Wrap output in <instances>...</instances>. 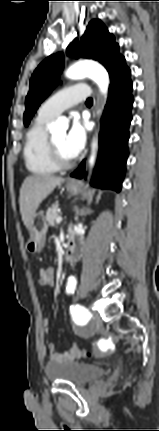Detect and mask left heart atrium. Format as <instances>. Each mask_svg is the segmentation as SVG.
<instances>
[{"mask_svg":"<svg viewBox=\"0 0 159 431\" xmlns=\"http://www.w3.org/2000/svg\"><path fill=\"white\" fill-rule=\"evenodd\" d=\"M86 131L78 119H74L65 137V149L74 158L84 148Z\"/></svg>","mask_w":159,"mask_h":431,"instance_id":"left-heart-atrium-1","label":"left heart atrium"}]
</instances>
